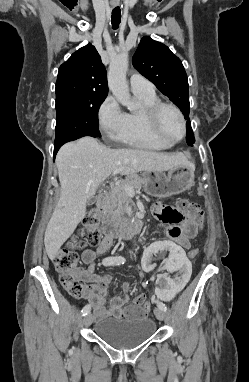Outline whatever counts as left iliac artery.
<instances>
[{
    "mask_svg": "<svg viewBox=\"0 0 249 382\" xmlns=\"http://www.w3.org/2000/svg\"><path fill=\"white\" fill-rule=\"evenodd\" d=\"M156 303H157L158 308H160L161 310H163V311L167 310V307L162 302L157 301Z\"/></svg>",
    "mask_w": 249,
    "mask_h": 382,
    "instance_id": "44dca946",
    "label": "left iliac artery"
}]
</instances>
